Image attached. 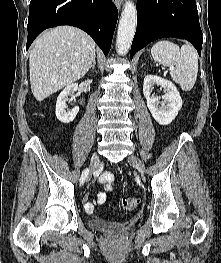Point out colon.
<instances>
[{"mask_svg": "<svg viewBox=\"0 0 221 263\" xmlns=\"http://www.w3.org/2000/svg\"><path fill=\"white\" fill-rule=\"evenodd\" d=\"M138 205H139V201L137 198L128 197L122 200L120 204V209L123 212H130L136 210L138 208Z\"/></svg>", "mask_w": 221, "mask_h": 263, "instance_id": "1", "label": "colon"}]
</instances>
